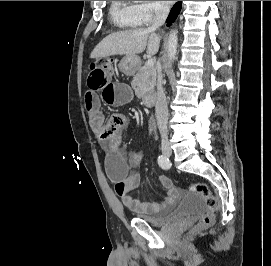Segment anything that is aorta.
Here are the masks:
<instances>
[{
	"mask_svg": "<svg viewBox=\"0 0 271 266\" xmlns=\"http://www.w3.org/2000/svg\"><path fill=\"white\" fill-rule=\"evenodd\" d=\"M177 48H178L177 31L171 30L168 37V42H167V52H168V58L170 62L176 59Z\"/></svg>",
	"mask_w": 271,
	"mask_h": 266,
	"instance_id": "aorta-1",
	"label": "aorta"
}]
</instances>
